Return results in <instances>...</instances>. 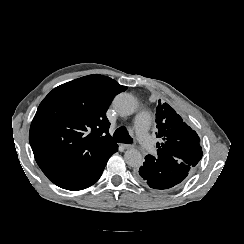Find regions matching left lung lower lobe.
Returning a JSON list of instances; mask_svg holds the SVG:
<instances>
[{"mask_svg":"<svg viewBox=\"0 0 244 244\" xmlns=\"http://www.w3.org/2000/svg\"><path fill=\"white\" fill-rule=\"evenodd\" d=\"M192 167L179 163L172 156L147 155L136 173L137 180L154 189H168L182 182Z\"/></svg>","mask_w":244,"mask_h":244,"instance_id":"left-lung-lower-lobe-1","label":"left lung lower lobe"}]
</instances>
